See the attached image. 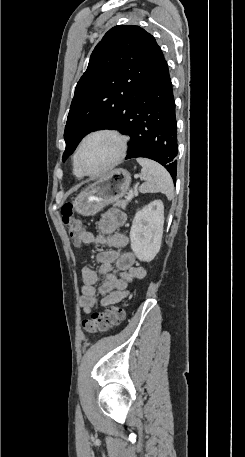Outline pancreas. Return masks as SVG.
I'll use <instances>...</instances> for the list:
<instances>
[{"label": "pancreas", "mask_w": 245, "mask_h": 457, "mask_svg": "<svg viewBox=\"0 0 245 457\" xmlns=\"http://www.w3.org/2000/svg\"><path fill=\"white\" fill-rule=\"evenodd\" d=\"M129 200H115L114 206H120V208H126V204H128Z\"/></svg>", "instance_id": "cf45deb5"}]
</instances>
